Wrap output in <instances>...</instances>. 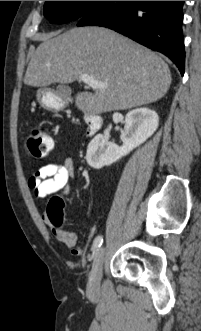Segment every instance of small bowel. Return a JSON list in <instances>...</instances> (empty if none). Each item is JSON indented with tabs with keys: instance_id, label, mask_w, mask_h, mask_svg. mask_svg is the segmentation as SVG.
<instances>
[{
	"instance_id": "small-bowel-1",
	"label": "small bowel",
	"mask_w": 201,
	"mask_h": 331,
	"mask_svg": "<svg viewBox=\"0 0 201 331\" xmlns=\"http://www.w3.org/2000/svg\"><path fill=\"white\" fill-rule=\"evenodd\" d=\"M74 173V164L71 158H66L63 164L48 163L35 171L28 180L29 187L33 190L35 197L62 198L69 194V179ZM50 200V201H51ZM44 219L52 227L56 239L72 250L74 255H81L83 250L77 245V235L59 226L51 215L46 214Z\"/></svg>"
}]
</instances>
